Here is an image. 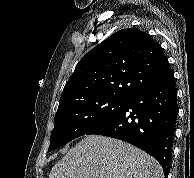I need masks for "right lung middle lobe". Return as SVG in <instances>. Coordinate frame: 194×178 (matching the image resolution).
<instances>
[{
	"mask_svg": "<svg viewBox=\"0 0 194 178\" xmlns=\"http://www.w3.org/2000/svg\"><path fill=\"white\" fill-rule=\"evenodd\" d=\"M127 98L98 96L75 101L57 110L51 132L52 151L71 140L85 135L92 128L120 109Z\"/></svg>",
	"mask_w": 194,
	"mask_h": 178,
	"instance_id": "right-lung-middle-lobe-1",
	"label": "right lung middle lobe"
}]
</instances>
